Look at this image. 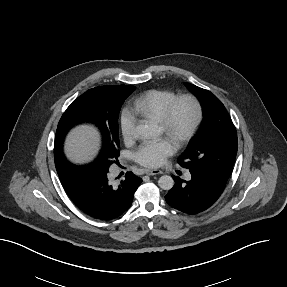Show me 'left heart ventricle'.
<instances>
[{
    "label": "left heart ventricle",
    "mask_w": 287,
    "mask_h": 287,
    "mask_svg": "<svg viewBox=\"0 0 287 287\" xmlns=\"http://www.w3.org/2000/svg\"><path fill=\"white\" fill-rule=\"evenodd\" d=\"M175 117H176L177 129L178 130L183 129L187 125L191 117L190 107L185 103L180 104L176 110ZM172 141H174V139H172Z\"/></svg>",
    "instance_id": "left-heart-ventricle-1"
}]
</instances>
